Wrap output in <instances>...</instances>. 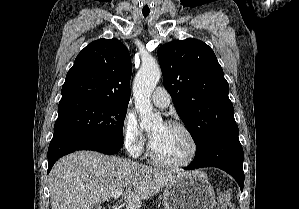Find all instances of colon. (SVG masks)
I'll return each instance as SVG.
<instances>
[{
    "label": "colon",
    "mask_w": 299,
    "mask_h": 209,
    "mask_svg": "<svg viewBox=\"0 0 299 209\" xmlns=\"http://www.w3.org/2000/svg\"><path fill=\"white\" fill-rule=\"evenodd\" d=\"M230 193L228 191L221 192L217 209H233Z\"/></svg>",
    "instance_id": "colon-1"
}]
</instances>
